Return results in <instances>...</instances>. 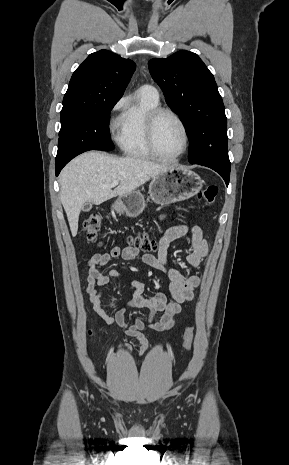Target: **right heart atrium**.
I'll list each match as a JSON object with an SVG mask.
<instances>
[{
  "label": "right heart atrium",
  "instance_id": "d8ad5b80",
  "mask_svg": "<svg viewBox=\"0 0 289 465\" xmlns=\"http://www.w3.org/2000/svg\"><path fill=\"white\" fill-rule=\"evenodd\" d=\"M127 102H128L127 97H122L121 99H119V100L115 103V105H114L113 108H112V111H113V112H116V111H118V110L124 108V107L126 106ZM115 128H116V124H113V125H112V130H115Z\"/></svg>",
  "mask_w": 289,
  "mask_h": 465
}]
</instances>
